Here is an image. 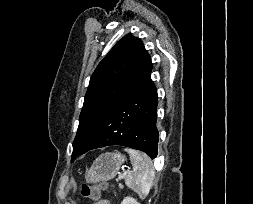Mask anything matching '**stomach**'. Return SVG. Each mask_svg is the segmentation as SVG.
<instances>
[{"mask_svg":"<svg viewBox=\"0 0 253 204\" xmlns=\"http://www.w3.org/2000/svg\"><path fill=\"white\" fill-rule=\"evenodd\" d=\"M126 158L121 153H105L100 155L90 169L86 171L85 177L88 183L107 182L116 177Z\"/></svg>","mask_w":253,"mask_h":204,"instance_id":"0dacf381","label":"stomach"}]
</instances>
